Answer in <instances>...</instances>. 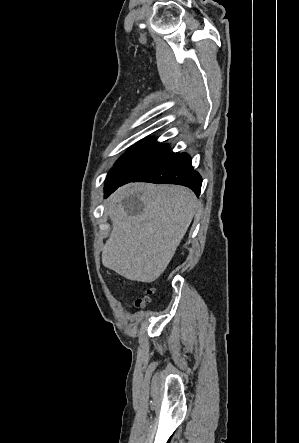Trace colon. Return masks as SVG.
<instances>
[{"instance_id": "5ec220e1", "label": "colon", "mask_w": 299, "mask_h": 443, "mask_svg": "<svg viewBox=\"0 0 299 443\" xmlns=\"http://www.w3.org/2000/svg\"><path fill=\"white\" fill-rule=\"evenodd\" d=\"M153 293H154V290H149L148 291V297H146L144 299H141V300H138L136 302V307H143V306H145V304L148 303V301H149V296L152 295Z\"/></svg>"}]
</instances>
